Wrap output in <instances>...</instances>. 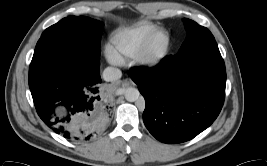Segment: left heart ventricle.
Returning <instances> with one entry per match:
<instances>
[{
	"instance_id": "left-heart-ventricle-1",
	"label": "left heart ventricle",
	"mask_w": 267,
	"mask_h": 166,
	"mask_svg": "<svg viewBox=\"0 0 267 166\" xmlns=\"http://www.w3.org/2000/svg\"><path fill=\"white\" fill-rule=\"evenodd\" d=\"M163 40H164V38H163L162 36L159 37V38L154 42L153 47H154L155 49L160 48V46H161L162 43H163Z\"/></svg>"
}]
</instances>
